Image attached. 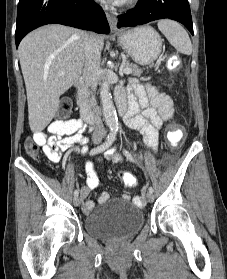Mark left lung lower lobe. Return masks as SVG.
<instances>
[{"mask_svg":"<svg viewBox=\"0 0 227 279\" xmlns=\"http://www.w3.org/2000/svg\"><path fill=\"white\" fill-rule=\"evenodd\" d=\"M169 18L182 23L193 35V24L188 0H140L135 9L118 16V28L146 24Z\"/></svg>","mask_w":227,"mask_h":279,"instance_id":"1","label":"left lung lower lobe"}]
</instances>
